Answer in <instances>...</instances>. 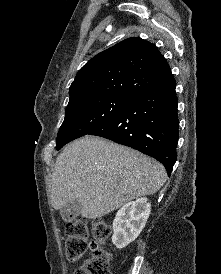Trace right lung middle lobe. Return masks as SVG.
Masks as SVG:
<instances>
[{
    "label": "right lung middle lobe",
    "instance_id": "1",
    "mask_svg": "<svg viewBox=\"0 0 221 274\" xmlns=\"http://www.w3.org/2000/svg\"><path fill=\"white\" fill-rule=\"evenodd\" d=\"M131 99L125 96H94L69 102L58 132L56 149L90 134L113 118Z\"/></svg>",
    "mask_w": 221,
    "mask_h": 274
}]
</instances>
